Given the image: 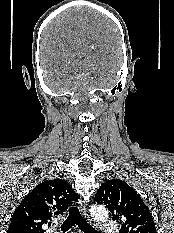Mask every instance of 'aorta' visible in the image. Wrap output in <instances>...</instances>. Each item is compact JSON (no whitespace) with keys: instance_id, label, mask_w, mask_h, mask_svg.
Listing matches in <instances>:
<instances>
[{"instance_id":"1","label":"aorta","mask_w":174,"mask_h":233,"mask_svg":"<svg viewBox=\"0 0 174 233\" xmlns=\"http://www.w3.org/2000/svg\"><path fill=\"white\" fill-rule=\"evenodd\" d=\"M90 212L92 217L96 220L105 221L108 218V211L103 205H93Z\"/></svg>"}]
</instances>
